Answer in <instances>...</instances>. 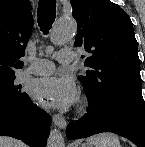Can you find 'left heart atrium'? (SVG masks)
Returning <instances> with one entry per match:
<instances>
[{
  "label": "left heart atrium",
  "instance_id": "obj_1",
  "mask_svg": "<svg viewBox=\"0 0 145 147\" xmlns=\"http://www.w3.org/2000/svg\"><path fill=\"white\" fill-rule=\"evenodd\" d=\"M32 96L46 107L66 109L75 101L76 86L70 77H46L35 82Z\"/></svg>",
  "mask_w": 145,
  "mask_h": 147
}]
</instances>
